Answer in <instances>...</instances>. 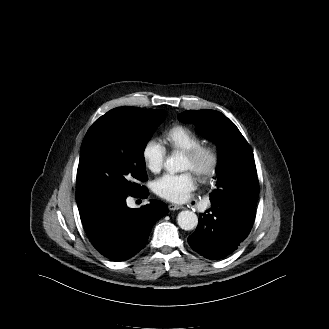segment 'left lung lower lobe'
I'll return each instance as SVG.
<instances>
[{
  "instance_id": "obj_1",
  "label": "left lung lower lobe",
  "mask_w": 329,
  "mask_h": 329,
  "mask_svg": "<svg viewBox=\"0 0 329 329\" xmlns=\"http://www.w3.org/2000/svg\"><path fill=\"white\" fill-rule=\"evenodd\" d=\"M232 191L225 199L211 200V208L200 214L197 229L188 238L191 248L207 259L231 254L250 233L259 195L256 168Z\"/></svg>"
}]
</instances>
